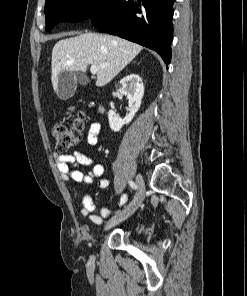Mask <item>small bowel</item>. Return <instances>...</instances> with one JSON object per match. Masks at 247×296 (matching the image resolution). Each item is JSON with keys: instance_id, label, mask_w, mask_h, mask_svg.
Segmentation results:
<instances>
[{"instance_id": "c3829d8e", "label": "small bowel", "mask_w": 247, "mask_h": 296, "mask_svg": "<svg viewBox=\"0 0 247 296\" xmlns=\"http://www.w3.org/2000/svg\"><path fill=\"white\" fill-rule=\"evenodd\" d=\"M101 124L94 122L91 124L88 130V143L90 145H96L99 142V135L101 133ZM54 159L58 171L64 181H73L79 185H91L97 179V186L99 189H106L110 181L107 178L102 177L104 173V167L101 164L95 162V160L81 152L75 151L69 154H54ZM81 167H91L90 171L83 172ZM128 201V196L123 193L120 196L119 205L124 206ZM96 209V205L93 201L92 195L86 193L82 199V207L79 209V214L83 217H89L90 221L95 224H101L103 219L110 216L111 211L108 208L101 209V215H95L93 212Z\"/></svg>"}]
</instances>
